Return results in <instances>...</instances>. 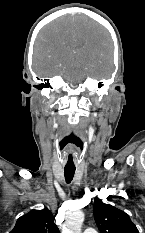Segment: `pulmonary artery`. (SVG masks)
Returning a JSON list of instances; mask_svg holds the SVG:
<instances>
[{"label": "pulmonary artery", "instance_id": "1", "mask_svg": "<svg viewBox=\"0 0 145 233\" xmlns=\"http://www.w3.org/2000/svg\"><path fill=\"white\" fill-rule=\"evenodd\" d=\"M83 233H97V230L94 228H87L84 230Z\"/></svg>", "mask_w": 145, "mask_h": 233}]
</instances>
